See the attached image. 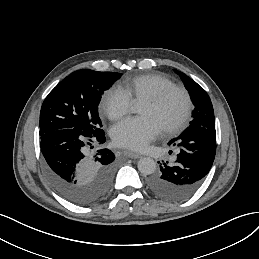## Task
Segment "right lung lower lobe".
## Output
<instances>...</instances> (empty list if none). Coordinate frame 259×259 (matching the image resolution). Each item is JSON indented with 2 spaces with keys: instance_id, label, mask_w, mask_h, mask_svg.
<instances>
[{
  "instance_id": "right-lung-lower-lobe-1",
  "label": "right lung lower lobe",
  "mask_w": 259,
  "mask_h": 259,
  "mask_svg": "<svg viewBox=\"0 0 259 259\" xmlns=\"http://www.w3.org/2000/svg\"><path fill=\"white\" fill-rule=\"evenodd\" d=\"M106 141L101 132L86 137L74 129L50 132L41 138L45 171L56 191L69 202L89 206L109 191L116 169L115 155L107 148L93 154L89 147Z\"/></svg>"
}]
</instances>
